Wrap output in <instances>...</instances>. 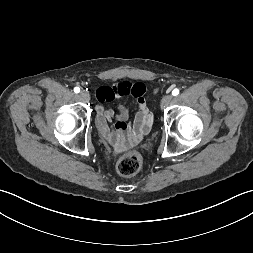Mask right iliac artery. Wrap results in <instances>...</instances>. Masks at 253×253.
I'll list each match as a JSON object with an SVG mask.
<instances>
[{
	"instance_id": "82829eb1",
	"label": "right iliac artery",
	"mask_w": 253,
	"mask_h": 253,
	"mask_svg": "<svg viewBox=\"0 0 253 253\" xmlns=\"http://www.w3.org/2000/svg\"><path fill=\"white\" fill-rule=\"evenodd\" d=\"M74 92H75V93H79V92H80V88H79V87H75V88H74Z\"/></svg>"
}]
</instances>
